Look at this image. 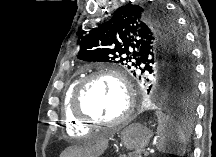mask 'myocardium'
Returning a JSON list of instances; mask_svg holds the SVG:
<instances>
[{
  "label": "myocardium",
  "mask_w": 216,
  "mask_h": 157,
  "mask_svg": "<svg viewBox=\"0 0 216 157\" xmlns=\"http://www.w3.org/2000/svg\"><path fill=\"white\" fill-rule=\"evenodd\" d=\"M99 77H107L115 80L123 89L125 98H126V108L122 115L112 122H105L98 120L88 114L84 108H83V98L85 95V91L89 83ZM135 108V100L134 95L132 92V89L130 85L128 84L126 78L120 74L118 71L112 69V68H104L99 69L83 78H81L72 95L71 100V111L73 116L81 121L82 123L88 125V126H106V127H120L129 122L131 119Z\"/></svg>",
  "instance_id": "myocardium-1"
}]
</instances>
